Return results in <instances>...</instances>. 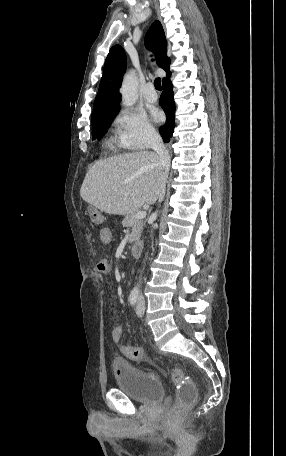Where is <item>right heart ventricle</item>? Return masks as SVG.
Instances as JSON below:
<instances>
[{"mask_svg": "<svg viewBox=\"0 0 286 456\" xmlns=\"http://www.w3.org/2000/svg\"><path fill=\"white\" fill-rule=\"evenodd\" d=\"M106 145L109 149L124 148L118 143L116 138H110L107 140Z\"/></svg>", "mask_w": 286, "mask_h": 456, "instance_id": "e07e8e85", "label": "right heart ventricle"}]
</instances>
